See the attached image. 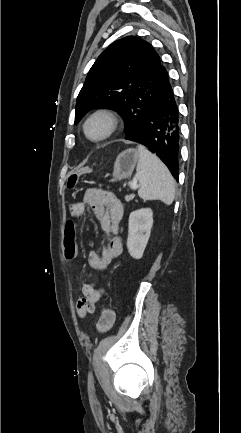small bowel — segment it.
<instances>
[{
  "instance_id": "obj_1",
  "label": "small bowel",
  "mask_w": 241,
  "mask_h": 433,
  "mask_svg": "<svg viewBox=\"0 0 241 433\" xmlns=\"http://www.w3.org/2000/svg\"><path fill=\"white\" fill-rule=\"evenodd\" d=\"M85 204L91 207L95 218L101 224L102 230L110 236L100 253L95 251L89 253L88 263L95 270H106L123 252L122 239L118 235V225L124 213L123 205L112 192L91 188L85 192L83 202L72 206L71 217L80 215ZM74 252L76 254L77 250ZM82 293L83 296L76 304L77 314L81 318L94 311L96 303L102 296L103 288L96 287L93 283H86L83 286Z\"/></svg>"
}]
</instances>
